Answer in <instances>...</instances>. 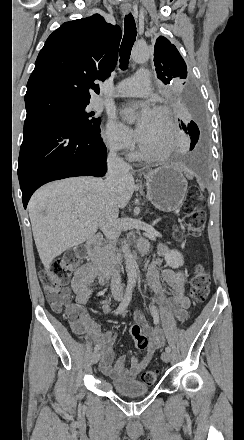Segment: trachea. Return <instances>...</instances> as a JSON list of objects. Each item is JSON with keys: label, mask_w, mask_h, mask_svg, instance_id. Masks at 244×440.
<instances>
[{"label": "trachea", "mask_w": 244, "mask_h": 440, "mask_svg": "<svg viewBox=\"0 0 244 440\" xmlns=\"http://www.w3.org/2000/svg\"><path fill=\"white\" fill-rule=\"evenodd\" d=\"M136 35H137V29L135 25V20L133 18V15L129 13V15H126L124 19V37L120 45L121 70H126L128 66L131 55V49L136 40Z\"/></svg>", "instance_id": "obj_1"}]
</instances>
